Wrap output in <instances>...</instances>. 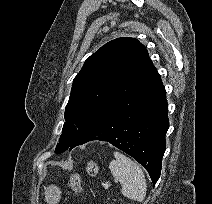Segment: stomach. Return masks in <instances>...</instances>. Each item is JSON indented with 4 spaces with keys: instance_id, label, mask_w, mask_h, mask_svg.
<instances>
[{
    "instance_id": "1",
    "label": "stomach",
    "mask_w": 212,
    "mask_h": 204,
    "mask_svg": "<svg viewBox=\"0 0 212 204\" xmlns=\"http://www.w3.org/2000/svg\"><path fill=\"white\" fill-rule=\"evenodd\" d=\"M60 190L55 185H50L45 189L46 200L49 204H57L60 199Z\"/></svg>"
}]
</instances>
